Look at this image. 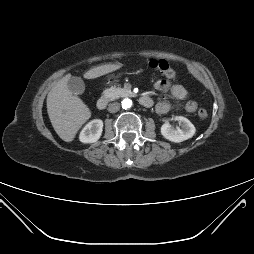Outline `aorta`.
<instances>
[{"instance_id": "1", "label": "aorta", "mask_w": 254, "mask_h": 254, "mask_svg": "<svg viewBox=\"0 0 254 254\" xmlns=\"http://www.w3.org/2000/svg\"><path fill=\"white\" fill-rule=\"evenodd\" d=\"M132 106V100H130V99H124L123 101H122V107L124 108V109H128V108H130Z\"/></svg>"}]
</instances>
